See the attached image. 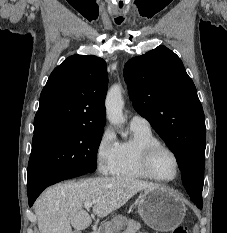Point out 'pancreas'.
I'll list each match as a JSON object with an SVG mask.
<instances>
[{
	"instance_id": "obj_1",
	"label": "pancreas",
	"mask_w": 227,
	"mask_h": 233,
	"mask_svg": "<svg viewBox=\"0 0 227 233\" xmlns=\"http://www.w3.org/2000/svg\"><path fill=\"white\" fill-rule=\"evenodd\" d=\"M124 226H125L124 231L117 233H136L141 228V224L132 219L126 220L124 222Z\"/></svg>"
}]
</instances>
